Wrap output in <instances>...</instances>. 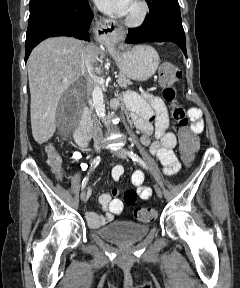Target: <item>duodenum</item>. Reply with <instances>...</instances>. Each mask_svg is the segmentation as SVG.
Masks as SVG:
<instances>
[{"instance_id":"duodenum-1","label":"duodenum","mask_w":240,"mask_h":288,"mask_svg":"<svg viewBox=\"0 0 240 288\" xmlns=\"http://www.w3.org/2000/svg\"><path fill=\"white\" fill-rule=\"evenodd\" d=\"M119 106L118 100L112 101V107L117 108ZM74 138L79 146H87L90 140V116L89 111L85 109L82 113L80 123L75 131Z\"/></svg>"}]
</instances>
